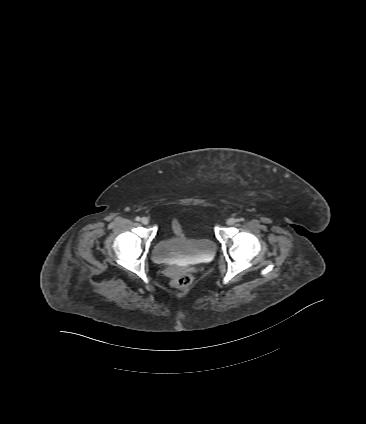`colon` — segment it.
<instances>
[{"instance_id": "5ec220e1", "label": "colon", "mask_w": 366, "mask_h": 424, "mask_svg": "<svg viewBox=\"0 0 366 424\" xmlns=\"http://www.w3.org/2000/svg\"><path fill=\"white\" fill-rule=\"evenodd\" d=\"M192 281V277L189 273L184 271H179L176 273V276L173 280V287L179 290L186 289Z\"/></svg>"}]
</instances>
